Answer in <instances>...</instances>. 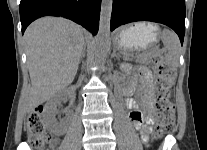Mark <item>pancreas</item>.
<instances>
[{
    "mask_svg": "<svg viewBox=\"0 0 207 150\" xmlns=\"http://www.w3.org/2000/svg\"><path fill=\"white\" fill-rule=\"evenodd\" d=\"M155 56V52L153 51H144L142 53L130 54L129 57L131 59L136 60L139 63H149L152 61V58Z\"/></svg>",
    "mask_w": 207,
    "mask_h": 150,
    "instance_id": "pancreas-1",
    "label": "pancreas"
}]
</instances>
